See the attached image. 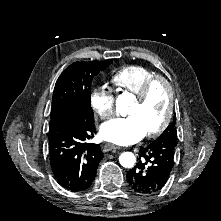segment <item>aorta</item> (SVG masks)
Returning a JSON list of instances; mask_svg holds the SVG:
<instances>
[{"mask_svg":"<svg viewBox=\"0 0 221 221\" xmlns=\"http://www.w3.org/2000/svg\"><path fill=\"white\" fill-rule=\"evenodd\" d=\"M129 104V100L125 99L123 95L118 97L117 107L120 109ZM120 164L125 168H132L136 163V157L132 152H123L119 156Z\"/></svg>","mask_w":221,"mask_h":221,"instance_id":"obj_1","label":"aorta"}]
</instances>
